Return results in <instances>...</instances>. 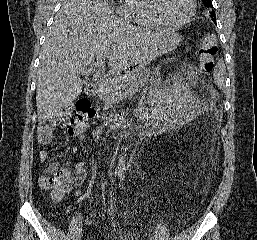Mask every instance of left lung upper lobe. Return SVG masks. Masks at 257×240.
Returning <instances> with one entry per match:
<instances>
[{
	"label": "left lung upper lobe",
	"instance_id": "5c2ea615",
	"mask_svg": "<svg viewBox=\"0 0 257 240\" xmlns=\"http://www.w3.org/2000/svg\"><path fill=\"white\" fill-rule=\"evenodd\" d=\"M204 6L209 10L208 13L210 14V17H212V20L215 22L216 18H215V12L212 10L213 9V5L211 0H202Z\"/></svg>",
	"mask_w": 257,
	"mask_h": 240
}]
</instances>
